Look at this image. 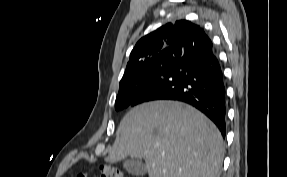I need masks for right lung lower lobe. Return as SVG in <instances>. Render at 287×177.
I'll return each instance as SVG.
<instances>
[{"mask_svg":"<svg viewBox=\"0 0 287 177\" xmlns=\"http://www.w3.org/2000/svg\"><path fill=\"white\" fill-rule=\"evenodd\" d=\"M177 100L209 117L226 134V90L219 61L204 30L184 50L179 62L148 86L132 103Z\"/></svg>","mask_w":287,"mask_h":177,"instance_id":"obj_1","label":"right lung lower lobe"}]
</instances>
